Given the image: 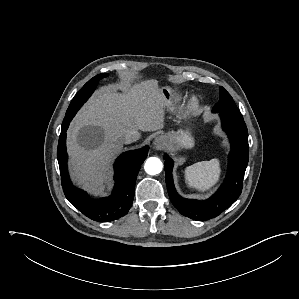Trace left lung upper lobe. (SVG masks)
Wrapping results in <instances>:
<instances>
[{
  "label": "left lung upper lobe",
  "mask_w": 299,
  "mask_h": 299,
  "mask_svg": "<svg viewBox=\"0 0 299 299\" xmlns=\"http://www.w3.org/2000/svg\"><path fill=\"white\" fill-rule=\"evenodd\" d=\"M212 112H226L238 117H242V114L238 110L233 98L222 86L220 87V99L213 107Z\"/></svg>",
  "instance_id": "1"
}]
</instances>
